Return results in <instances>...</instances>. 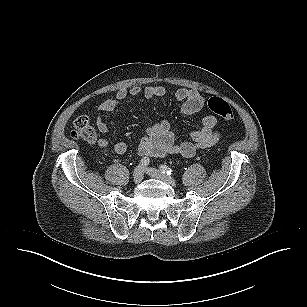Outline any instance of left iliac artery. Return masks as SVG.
I'll list each match as a JSON object with an SVG mask.
<instances>
[{"instance_id":"1","label":"left iliac artery","mask_w":307,"mask_h":307,"mask_svg":"<svg viewBox=\"0 0 307 307\" xmlns=\"http://www.w3.org/2000/svg\"><path fill=\"white\" fill-rule=\"evenodd\" d=\"M160 170L162 171V173L167 174V175H172V174H173L172 169L169 168V167L166 166V165H161V166H160Z\"/></svg>"}]
</instances>
